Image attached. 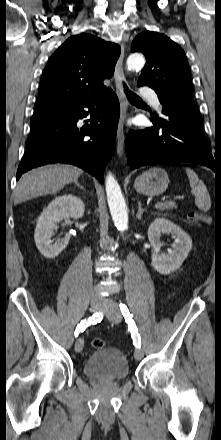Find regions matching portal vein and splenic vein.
Masks as SVG:
<instances>
[{
    "label": "portal vein and splenic vein",
    "mask_w": 221,
    "mask_h": 440,
    "mask_svg": "<svg viewBox=\"0 0 221 440\" xmlns=\"http://www.w3.org/2000/svg\"><path fill=\"white\" fill-rule=\"evenodd\" d=\"M160 204H161V202H158V203L155 204L154 207H155V208H158Z\"/></svg>",
    "instance_id": "18ae733b"
}]
</instances>
